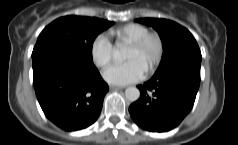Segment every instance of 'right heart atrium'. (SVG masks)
<instances>
[{
	"label": "right heart atrium",
	"instance_id": "d8ad5b80",
	"mask_svg": "<svg viewBox=\"0 0 238 145\" xmlns=\"http://www.w3.org/2000/svg\"><path fill=\"white\" fill-rule=\"evenodd\" d=\"M91 59L100 68L107 67L113 60V46L104 34L96 36L90 46Z\"/></svg>",
	"mask_w": 238,
	"mask_h": 145
}]
</instances>
